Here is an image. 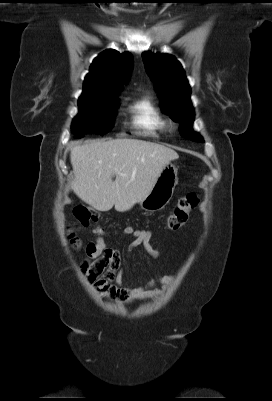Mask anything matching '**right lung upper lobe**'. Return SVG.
I'll use <instances>...</instances> for the list:
<instances>
[{
	"label": "right lung upper lobe",
	"mask_w": 272,
	"mask_h": 401,
	"mask_svg": "<svg viewBox=\"0 0 272 401\" xmlns=\"http://www.w3.org/2000/svg\"><path fill=\"white\" fill-rule=\"evenodd\" d=\"M133 65L130 53L110 49L100 53L90 66L79 99L96 94L119 92L129 78Z\"/></svg>",
	"instance_id": "cb5924a9"
}]
</instances>
